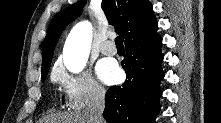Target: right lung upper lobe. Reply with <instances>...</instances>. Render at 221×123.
<instances>
[{"label":"right lung upper lobe","mask_w":221,"mask_h":123,"mask_svg":"<svg viewBox=\"0 0 221 123\" xmlns=\"http://www.w3.org/2000/svg\"><path fill=\"white\" fill-rule=\"evenodd\" d=\"M84 0L63 9L52 19L45 37L43 66L51 64L57 41L65 27L82 13ZM101 7L110 25L125 39V45L157 31V21L148 0H102Z\"/></svg>","instance_id":"cb5924a9"}]
</instances>
